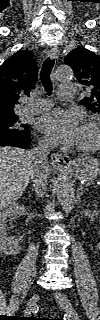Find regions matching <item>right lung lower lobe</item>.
I'll use <instances>...</instances> for the list:
<instances>
[{
  "mask_svg": "<svg viewBox=\"0 0 100 320\" xmlns=\"http://www.w3.org/2000/svg\"><path fill=\"white\" fill-rule=\"evenodd\" d=\"M31 143L30 133L26 135L12 136L4 135L0 136V145L2 146H15L21 148H28Z\"/></svg>",
  "mask_w": 100,
  "mask_h": 320,
  "instance_id": "1",
  "label": "right lung lower lobe"
}]
</instances>
